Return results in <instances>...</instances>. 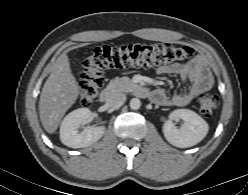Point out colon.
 <instances>
[{"label": "colon", "instance_id": "1", "mask_svg": "<svg viewBox=\"0 0 248 195\" xmlns=\"http://www.w3.org/2000/svg\"><path fill=\"white\" fill-rule=\"evenodd\" d=\"M194 50L190 46H177L167 42L151 45H125L120 47L99 46L83 62L81 83L78 93L79 104L90 106L104 85L106 69L149 68L168 65L190 58ZM219 99L212 94L199 97V111L205 118L212 116Z\"/></svg>", "mask_w": 248, "mask_h": 195}]
</instances>
